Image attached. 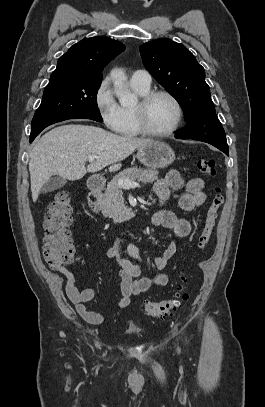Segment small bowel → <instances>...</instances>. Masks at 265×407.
Masks as SVG:
<instances>
[{"mask_svg":"<svg viewBox=\"0 0 265 407\" xmlns=\"http://www.w3.org/2000/svg\"><path fill=\"white\" fill-rule=\"evenodd\" d=\"M204 181L199 177L185 180L176 170L169 171L165 177L159 179L154 190L161 204L169 198L172 190H185L180 198V208L186 212H192L201 206L206 199L203 192ZM153 224L164 230L170 239L165 251L155 258L154 266L158 270L152 276H142L140 264H133L123 256L122 239L108 249L107 257L115 261L118 267V276L121 280L122 297L116 303L118 310L125 309L131 303V297L147 291L151 287H164L168 283V276L163 269L168 265L172 257L178 250L179 239L188 237L192 232V224L189 220L179 218L171 211L160 208L152 217ZM127 252L132 257L142 263L139 251L134 244L127 245ZM64 276V289L68 299L75 305L78 314L89 324L98 325L103 322V316L97 312L86 308V303L92 300L95 295L93 288L79 289L76 286L75 278L71 272L64 267L59 268ZM118 316V313L113 317Z\"/></svg>","mask_w":265,"mask_h":407,"instance_id":"small-bowel-1","label":"small bowel"}]
</instances>
